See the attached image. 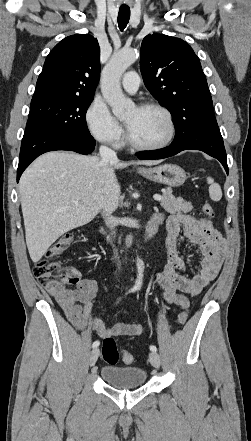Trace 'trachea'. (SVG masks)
Wrapping results in <instances>:
<instances>
[{
    "mask_svg": "<svg viewBox=\"0 0 251 441\" xmlns=\"http://www.w3.org/2000/svg\"><path fill=\"white\" fill-rule=\"evenodd\" d=\"M130 19V9L120 8L118 13V26L121 31H123Z\"/></svg>",
    "mask_w": 251,
    "mask_h": 441,
    "instance_id": "1",
    "label": "trachea"
}]
</instances>
